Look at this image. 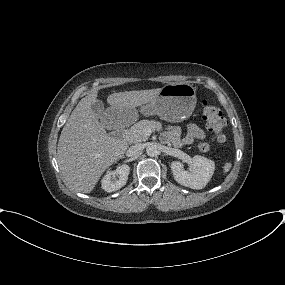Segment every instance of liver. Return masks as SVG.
Returning a JSON list of instances; mask_svg holds the SVG:
<instances>
[{
  "label": "liver",
  "instance_id": "obj_1",
  "mask_svg": "<svg viewBox=\"0 0 285 285\" xmlns=\"http://www.w3.org/2000/svg\"><path fill=\"white\" fill-rule=\"evenodd\" d=\"M161 88L125 91L107 97L112 107L134 109L149 103ZM97 91L82 98L72 111L59 137L57 161L67 183L76 191L90 193L104 171L121 159L127 144L108 135L92 112Z\"/></svg>",
  "mask_w": 285,
  "mask_h": 285
}]
</instances>
